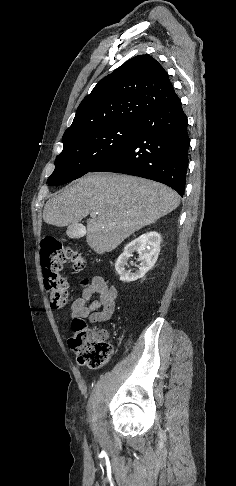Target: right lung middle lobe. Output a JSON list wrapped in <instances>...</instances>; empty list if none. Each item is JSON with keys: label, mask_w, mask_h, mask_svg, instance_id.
I'll return each instance as SVG.
<instances>
[{"label": "right lung middle lobe", "mask_w": 236, "mask_h": 486, "mask_svg": "<svg viewBox=\"0 0 236 486\" xmlns=\"http://www.w3.org/2000/svg\"><path fill=\"white\" fill-rule=\"evenodd\" d=\"M137 124H119L90 130L63 140L49 185L71 182L106 161L135 136Z\"/></svg>", "instance_id": "obj_1"}]
</instances>
